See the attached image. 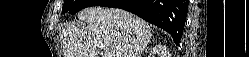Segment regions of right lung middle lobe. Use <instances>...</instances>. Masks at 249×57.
Here are the masks:
<instances>
[{
    "label": "right lung middle lobe",
    "instance_id": "obj_1",
    "mask_svg": "<svg viewBox=\"0 0 249 57\" xmlns=\"http://www.w3.org/2000/svg\"><path fill=\"white\" fill-rule=\"evenodd\" d=\"M105 1L106 0H65L62 7V14H75L86 7L98 6Z\"/></svg>",
    "mask_w": 249,
    "mask_h": 57
}]
</instances>
